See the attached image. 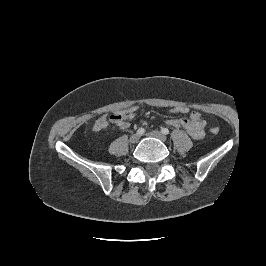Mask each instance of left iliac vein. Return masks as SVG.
I'll use <instances>...</instances> for the list:
<instances>
[{"instance_id": "left-iliac-vein-1", "label": "left iliac vein", "mask_w": 266, "mask_h": 266, "mask_svg": "<svg viewBox=\"0 0 266 266\" xmlns=\"http://www.w3.org/2000/svg\"><path fill=\"white\" fill-rule=\"evenodd\" d=\"M147 136L153 137V138H157V139H159L162 142H166V140H167V138H166V136L164 134H162L161 132L156 131V130L149 132L147 134Z\"/></svg>"}]
</instances>
